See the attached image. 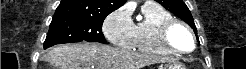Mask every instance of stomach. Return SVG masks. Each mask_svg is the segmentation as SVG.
<instances>
[{
  "instance_id": "stomach-1",
  "label": "stomach",
  "mask_w": 246,
  "mask_h": 69,
  "mask_svg": "<svg viewBox=\"0 0 246 69\" xmlns=\"http://www.w3.org/2000/svg\"><path fill=\"white\" fill-rule=\"evenodd\" d=\"M160 69H186V67L180 63H168Z\"/></svg>"
}]
</instances>
